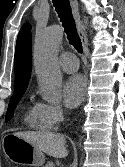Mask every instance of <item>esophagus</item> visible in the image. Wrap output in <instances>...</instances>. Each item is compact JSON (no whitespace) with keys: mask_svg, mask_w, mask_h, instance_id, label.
I'll return each mask as SVG.
<instances>
[{"mask_svg":"<svg viewBox=\"0 0 125 167\" xmlns=\"http://www.w3.org/2000/svg\"><path fill=\"white\" fill-rule=\"evenodd\" d=\"M70 4H71V8H72V12L74 15V19L76 22V28H77V32L79 34V37L81 39L82 45H83V50H84V54L87 57L88 56V39L87 36L83 30L82 24H81V19H80V14H79V5L77 0H70Z\"/></svg>","mask_w":125,"mask_h":167,"instance_id":"esophagus-1","label":"esophagus"}]
</instances>
